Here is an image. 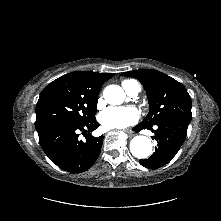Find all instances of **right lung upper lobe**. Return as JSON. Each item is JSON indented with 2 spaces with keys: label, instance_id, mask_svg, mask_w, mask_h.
Masks as SVG:
<instances>
[{
  "label": "right lung upper lobe",
  "instance_id": "obj_1",
  "mask_svg": "<svg viewBox=\"0 0 221 221\" xmlns=\"http://www.w3.org/2000/svg\"><path fill=\"white\" fill-rule=\"evenodd\" d=\"M113 75L114 73L105 74L90 71H74L61 77L72 80L88 94L98 95L104 82Z\"/></svg>",
  "mask_w": 221,
  "mask_h": 221
}]
</instances>
